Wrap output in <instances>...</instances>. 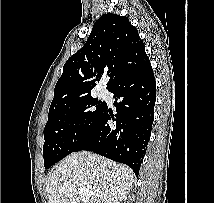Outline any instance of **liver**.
<instances>
[{
	"label": "liver",
	"mask_w": 214,
	"mask_h": 203,
	"mask_svg": "<svg viewBox=\"0 0 214 203\" xmlns=\"http://www.w3.org/2000/svg\"><path fill=\"white\" fill-rule=\"evenodd\" d=\"M133 171L112 160L78 152L64 158L48 176V203H79L78 190L90 192L84 203H120L134 183Z\"/></svg>",
	"instance_id": "1"
}]
</instances>
